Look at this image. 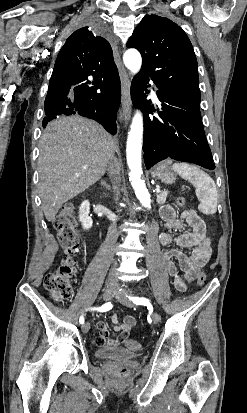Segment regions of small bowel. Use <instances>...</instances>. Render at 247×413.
I'll list each match as a JSON object with an SVG mask.
<instances>
[{
	"label": "small bowel",
	"mask_w": 247,
	"mask_h": 413,
	"mask_svg": "<svg viewBox=\"0 0 247 413\" xmlns=\"http://www.w3.org/2000/svg\"><path fill=\"white\" fill-rule=\"evenodd\" d=\"M161 216L166 229L184 228L185 226H189L192 229V231L178 236L168 232H163L159 236L162 246L175 243L179 247L190 251L189 255H185L176 249H172L164 254L167 271L174 278V287L178 291L184 292L187 289V283L197 278L199 270L206 263L204 254L210 248V243L208 242L210 240L206 235V226L202 218L191 208L184 210L180 218H177L174 207L167 205L161 210ZM111 322L113 324V331L121 334L109 336L108 325L103 321L97 322L95 328L100 338H107L109 336L108 347L110 349H119L121 343L125 341V337L130 336V331L135 326L136 319L131 315H126L123 322H120L119 317L113 314ZM96 346L98 349H105L107 342L105 340H98Z\"/></svg>",
	"instance_id": "c3829d8e"
}]
</instances>
